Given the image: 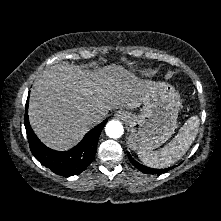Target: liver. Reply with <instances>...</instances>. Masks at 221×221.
Wrapping results in <instances>:
<instances>
[{
    "mask_svg": "<svg viewBox=\"0 0 221 221\" xmlns=\"http://www.w3.org/2000/svg\"><path fill=\"white\" fill-rule=\"evenodd\" d=\"M149 84L122 66L90 72L67 63L55 64L33 83L29 121L46 146L65 151L94 125L87 122L88 116L100 115V122L112 109L138 108Z\"/></svg>",
    "mask_w": 221,
    "mask_h": 221,
    "instance_id": "liver-1",
    "label": "liver"
}]
</instances>
